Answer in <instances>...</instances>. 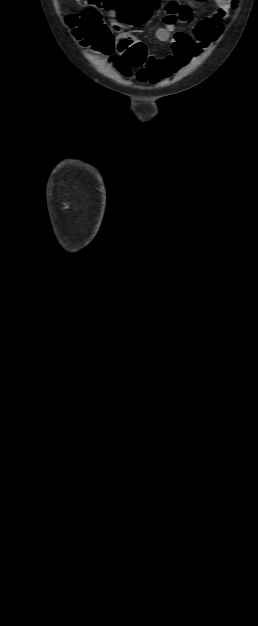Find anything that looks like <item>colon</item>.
Returning <instances> with one entry per match:
<instances>
[{
    "mask_svg": "<svg viewBox=\"0 0 258 626\" xmlns=\"http://www.w3.org/2000/svg\"><path fill=\"white\" fill-rule=\"evenodd\" d=\"M89 6L80 14H70L67 22L75 36L86 46H91L104 54L114 50V42L108 27L102 22L99 10L118 9L119 19L131 25L143 23L155 10L160 0H78ZM235 0H232L233 6ZM146 58L142 45H136L129 52V60L139 66Z\"/></svg>",
    "mask_w": 258,
    "mask_h": 626,
    "instance_id": "1",
    "label": "colon"
}]
</instances>
